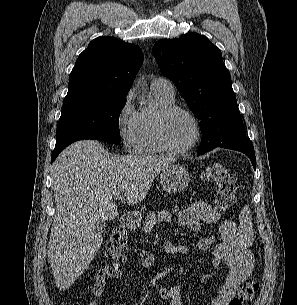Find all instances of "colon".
I'll return each mask as SVG.
<instances>
[{
    "mask_svg": "<svg viewBox=\"0 0 297 305\" xmlns=\"http://www.w3.org/2000/svg\"><path fill=\"white\" fill-rule=\"evenodd\" d=\"M202 178L215 186L214 209L219 214L228 212L235 205L238 190L236 173L224 164L214 163L204 169ZM126 250L127 236L125 231H114L107 241L106 252L108 258L121 261ZM258 288L259 283L256 279H248L230 301V305H248Z\"/></svg>",
    "mask_w": 297,
    "mask_h": 305,
    "instance_id": "obj_1",
    "label": "colon"
}]
</instances>
